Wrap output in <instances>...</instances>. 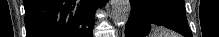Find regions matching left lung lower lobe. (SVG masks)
I'll return each instance as SVG.
<instances>
[{
    "instance_id": "0a47b994",
    "label": "left lung lower lobe",
    "mask_w": 219,
    "mask_h": 37,
    "mask_svg": "<svg viewBox=\"0 0 219 37\" xmlns=\"http://www.w3.org/2000/svg\"><path fill=\"white\" fill-rule=\"evenodd\" d=\"M131 13L125 37H144L151 27L165 26L184 37H192L185 11L170 0H130Z\"/></svg>"
}]
</instances>
